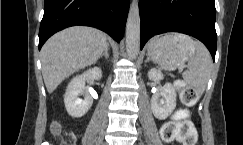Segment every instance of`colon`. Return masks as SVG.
Segmentation results:
<instances>
[{
    "label": "colon",
    "instance_id": "colon-1",
    "mask_svg": "<svg viewBox=\"0 0 243 145\" xmlns=\"http://www.w3.org/2000/svg\"><path fill=\"white\" fill-rule=\"evenodd\" d=\"M175 88L179 91L180 100L184 106L191 107L196 103L197 92L194 88L181 80L175 82ZM51 131L53 134L58 135L60 133L59 124L53 123ZM160 134L166 142L178 140L183 145H195L197 142L196 129L192 122L187 119L185 110H179L173 120L165 122L160 129Z\"/></svg>",
    "mask_w": 243,
    "mask_h": 145
}]
</instances>
